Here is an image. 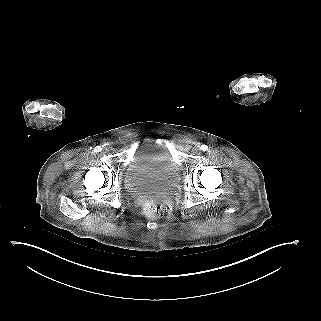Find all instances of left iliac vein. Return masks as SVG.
<instances>
[{
    "instance_id": "4c4485c4",
    "label": "left iliac vein",
    "mask_w": 321,
    "mask_h": 321,
    "mask_svg": "<svg viewBox=\"0 0 321 321\" xmlns=\"http://www.w3.org/2000/svg\"><path fill=\"white\" fill-rule=\"evenodd\" d=\"M198 151H199L198 148H195V149H194V152H195V153H198Z\"/></svg>"
}]
</instances>
